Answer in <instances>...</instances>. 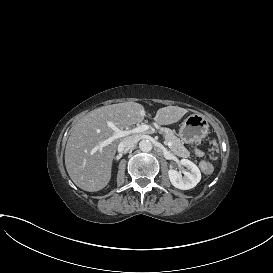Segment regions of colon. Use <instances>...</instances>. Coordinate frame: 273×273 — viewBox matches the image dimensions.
Masks as SVG:
<instances>
[{
  "instance_id": "5ec220e1",
  "label": "colon",
  "mask_w": 273,
  "mask_h": 273,
  "mask_svg": "<svg viewBox=\"0 0 273 273\" xmlns=\"http://www.w3.org/2000/svg\"><path fill=\"white\" fill-rule=\"evenodd\" d=\"M216 150H213L212 157L214 158L216 156Z\"/></svg>"
}]
</instances>
